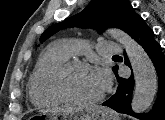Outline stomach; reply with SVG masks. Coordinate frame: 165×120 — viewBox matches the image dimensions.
I'll return each instance as SVG.
<instances>
[{"label": "stomach", "mask_w": 165, "mask_h": 120, "mask_svg": "<svg viewBox=\"0 0 165 120\" xmlns=\"http://www.w3.org/2000/svg\"><path fill=\"white\" fill-rule=\"evenodd\" d=\"M59 117H62L63 120H119L118 115L113 110L100 106L81 108L72 113L41 112L31 116L30 119L58 120Z\"/></svg>", "instance_id": "0dacf381"}]
</instances>
